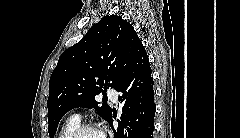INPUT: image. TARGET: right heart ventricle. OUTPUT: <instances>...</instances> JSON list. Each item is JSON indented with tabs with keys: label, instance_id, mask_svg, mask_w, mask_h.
Masks as SVG:
<instances>
[{
	"label": "right heart ventricle",
	"instance_id": "1",
	"mask_svg": "<svg viewBox=\"0 0 240 138\" xmlns=\"http://www.w3.org/2000/svg\"><path fill=\"white\" fill-rule=\"evenodd\" d=\"M79 125V119L73 117L69 119L63 126L59 138H68L69 135L75 130Z\"/></svg>",
	"mask_w": 240,
	"mask_h": 138
}]
</instances>
